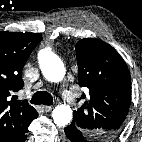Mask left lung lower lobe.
Masks as SVG:
<instances>
[{
	"label": "left lung lower lobe",
	"mask_w": 142,
	"mask_h": 142,
	"mask_svg": "<svg viewBox=\"0 0 142 142\" xmlns=\"http://www.w3.org/2000/svg\"><path fill=\"white\" fill-rule=\"evenodd\" d=\"M66 134V142H98L90 139L82 130L78 129L74 124L64 128Z\"/></svg>",
	"instance_id": "obj_1"
}]
</instances>
